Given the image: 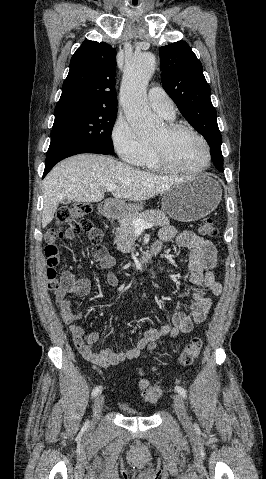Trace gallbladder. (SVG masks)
Listing matches in <instances>:
<instances>
[{
    "label": "gallbladder",
    "mask_w": 266,
    "mask_h": 479,
    "mask_svg": "<svg viewBox=\"0 0 266 479\" xmlns=\"http://www.w3.org/2000/svg\"><path fill=\"white\" fill-rule=\"evenodd\" d=\"M70 202H71V200L68 199V198H65V199L61 200L62 204H69Z\"/></svg>",
    "instance_id": "gallbladder-1"
}]
</instances>
